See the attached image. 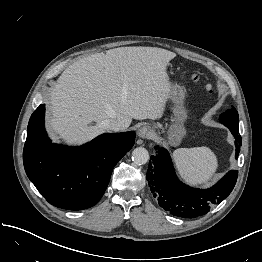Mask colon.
I'll return each instance as SVG.
<instances>
[{"mask_svg":"<svg viewBox=\"0 0 262 262\" xmlns=\"http://www.w3.org/2000/svg\"><path fill=\"white\" fill-rule=\"evenodd\" d=\"M195 80L198 81V77H195ZM207 88H210L209 86H207Z\"/></svg>","mask_w":262,"mask_h":262,"instance_id":"5ec220e1","label":"colon"}]
</instances>
